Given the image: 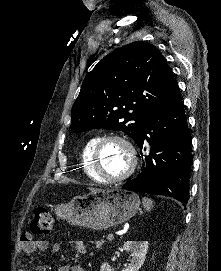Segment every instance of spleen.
Returning <instances> with one entry per match:
<instances>
[{
    "instance_id": "spleen-1",
    "label": "spleen",
    "mask_w": 221,
    "mask_h": 271,
    "mask_svg": "<svg viewBox=\"0 0 221 271\" xmlns=\"http://www.w3.org/2000/svg\"><path fill=\"white\" fill-rule=\"evenodd\" d=\"M143 203H144V207H146L147 211H150V209L152 207V205H151V203H152L151 199H144Z\"/></svg>"
}]
</instances>
